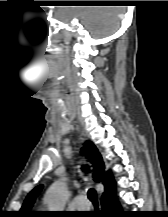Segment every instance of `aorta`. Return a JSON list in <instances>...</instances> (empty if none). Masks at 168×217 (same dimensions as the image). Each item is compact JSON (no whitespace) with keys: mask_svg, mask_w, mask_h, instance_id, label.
<instances>
[{"mask_svg":"<svg viewBox=\"0 0 168 217\" xmlns=\"http://www.w3.org/2000/svg\"><path fill=\"white\" fill-rule=\"evenodd\" d=\"M67 198V184L64 180H58L49 187L44 201L49 211H63Z\"/></svg>","mask_w":168,"mask_h":217,"instance_id":"1","label":"aorta"}]
</instances>
